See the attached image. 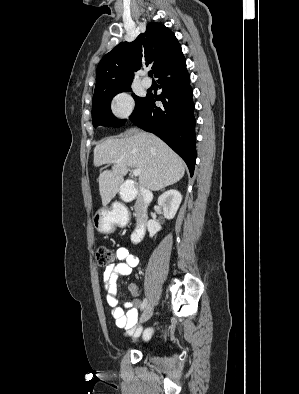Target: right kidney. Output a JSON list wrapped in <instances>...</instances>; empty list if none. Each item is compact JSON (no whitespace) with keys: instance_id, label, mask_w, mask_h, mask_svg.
Returning a JSON list of instances; mask_svg holds the SVG:
<instances>
[{"instance_id":"obj_1","label":"right kidney","mask_w":299,"mask_h":394,"mask_svg":"<svg viewBox=\"0 0 299 394\" xmlns=\"http://www.w3.org/2000/svg\"><path fill=\"white\" fill-rule=\"evenodd\" d=\"M182 201V195L175 189H170L164 192L158 198V204L163 207L164 217L171 220L175 217L178 208ZM147 230L149 236L152 238L158 231L161 230V225L155 220H149L147 222Z\"/></svg>"}]
</instances>
